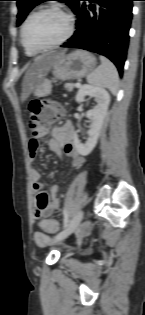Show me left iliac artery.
Listing matches in <instances>:
<instances>
[{
    "mask_svg": "<svg viewBox=\"0 0 145 315\" xmlns=\"http://www.w3.org/2000/svg\"><path fill=\"white\" fill-rule=\"evenodd\" d=\"M63 214H64L63 228H66L69 224V216H68V213L66 211V208L64 209Z\"/></svg>",
    "mask_w": 145,
    "mask_h": 315,
    "instance_id": "44dca946",
    "label": "left iliac artery"
}]
</instances>
